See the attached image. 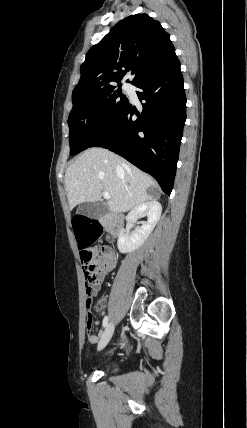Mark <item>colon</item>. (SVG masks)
Instances as JSON below:
<instances>
[{
  "mask_svg": "<svg viewBox=\"0 0 247 428\" xmlns=\"http://www.w3.org/2000/svg\"><path fill=\"white\" fill-rule=\"evenodd\" d=\"M72 225L75 226V247L77 251H81L83 274L87 285V291H89L90 287L101 279L106 264L104 257L100 255L96 258L94 253L89 250V245L97 243L98 239L102 236V227L97 222H94L92 217H87L86 212H73ZM87 306H90V299L87 300ZM92 324L93 316L89 312L86 319L88 330L91 329Z\"/></svg>",
  "mask_w": 247,
  "mask_h": 428,
  "instance_id": "5ec220e1",
  "label": "colon"
}]
</instances>
